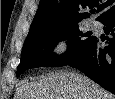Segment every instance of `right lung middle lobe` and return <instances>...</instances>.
I'll list each match as a JSON object with an SVG mask.
<instances>
[{"mask_svg":"<svg viewBox=\"0 0 115 99\" xmlns=\"http://www.w3.org/2000/svg\"><path fill=\"white\" fill-rule=\"evenodd\" d=\"M93 37L90 33L83 34L78 24L27 37L22 49L21 62L17 67V76L30 68L60 67L70 64ZM63 40L68 41V50L64 55H56L53 53V48Z\"/></svg>","mask_w":115,"mask_h":99,"instance_id":"right-lung-middle-lobe-1","label":"right lung middle lobe"}]
</instances>
